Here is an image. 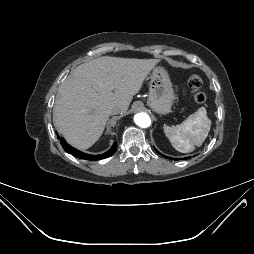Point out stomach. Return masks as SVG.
I'll return each mask as SVG.
<instances>
[{
	"instance_id": "1",
	"label": "stomach",
	"mask_w": 254,
	"mask_h": 254,
	"mask_svg": "<svg viewBox=\"0 0 254 254\" xmlns=\"http://www.w3.org/2000/svg\"><path fill=\"white\" fill-rule=\"evenodd\" d=\"M174 91L167 71L154 67L150 73L148 105L158 114H168L174 101Z\"/></svg>"
}]
</instances>
